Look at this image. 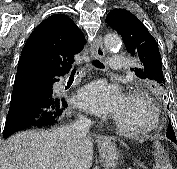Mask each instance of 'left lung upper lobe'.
<instances>
[{"mask_svg":"<svg viewBox=\"0 0 177 169\" xmlns=\"http://www.w3.org/2000/svg\"><path fill=\"white\" fill-rule=\"evenodd\" d=\"M121 36L127 51L139 60L140 67L131 69L159 96L165 93V78L158 43L136 16L125 9H114L106 18ZM166 135H175L171 123Z\"/></svg>","mask_w":177,"mask_h":169,"instance_id":"obj_1","label":"left lung upper lobe"}]
</instances>
